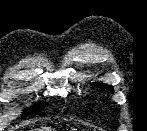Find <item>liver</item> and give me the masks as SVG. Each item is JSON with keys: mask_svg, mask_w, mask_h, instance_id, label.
<instances>
[{"mask_svg": "<svg viewBox=\"0 0 147 131\" xmlns=\"http://www.w3.org/2000/svg\"><path fill=\"white\" fill-rule=\"evenodd\" d=\"M36 131H54V129H51L50 127H42L37 129Z\"/></svg>", "mask_w": 147, "mask_h": 131, "instance_id": "liver-1", "label": "liver"}]
</instances>
